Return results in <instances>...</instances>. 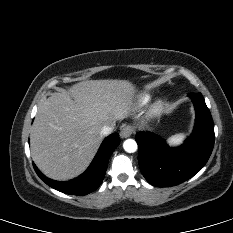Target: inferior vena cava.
<instances>
[{
	"label": "inferior vena cava",
	"mask_w": 233,
	"mask_h": 233,
	"mask_svg": "<svg viewBox=\"0 0 233 233\" xmlns=\"http://www.w3.org/2000/svg\"><path fill=\"white\" fill-rule=\"evenodd\" d=\"M114 126H109V125H105L102 129H101V134L102 135H109L113 132L114 130Z\"/></svg>",
	"instance_id": "602c4592"
}]
</instances>
